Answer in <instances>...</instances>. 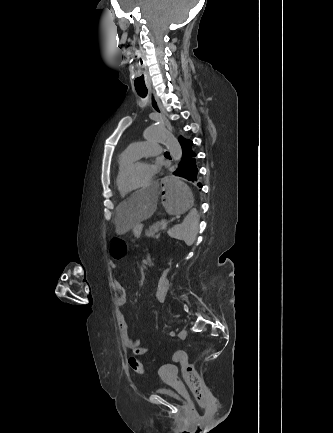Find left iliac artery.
<instances>
[{
  "instance_id": "left-iliac-artery-1",
  "label": "left iliac artery",
  "mask_w": 333,
  "mask_h": 433,
  "mask_svg": "<svg viewBox=\"0 0 333 433\" xmlns=\"http://www.w3.org/2000/svg\"><path fill=\"white\" fill-rule=\"evenodd\" d=\"M170 335H171V336H175V332H174V331H171V332H170Z\"/></svg>"
}]
</instances>
